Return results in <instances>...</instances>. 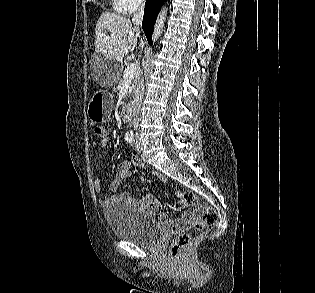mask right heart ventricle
I'll list each match as a JSON object with an SVG mask.
<instances>
[{
    "mask_svg": "<svg viewBox=\"0 0 315 293\" xmlns=\"http://www.w3.org/2000/svg\"><path fill=\"white\" fill-rule=\"evenodd\" d=\"M112 5H113V8L117 11V12H121V13H124L125 10L123 9L121 3L119 0H112Z\"/></svg>",
    "mask_w": 315,
    "mask_h": 293,
    "instance_id": "e07e8e85",
    "label": "right heart ventricle"
}]
</instances>
